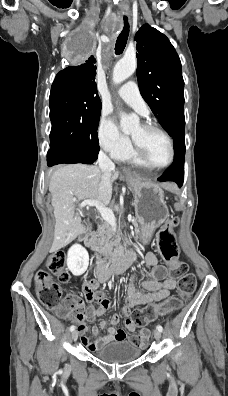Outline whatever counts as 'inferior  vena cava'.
<instances>
[{"mask_svg": "<svg viewBox=\"0 0 228 396\" xmlns=\"http://www.w3.org/2000/svg\"><path fill=\"white\" fill-rule=\"evenodd\" d=\"M98 165L102 172L100 188H99L100 194L102 196L110 195L112 191L110 177H111V172L115 169V165L103 151H100L99 153Z\"/></svg>", "mask_w": 228, "mask_h": 396, "instance_id": "602c4592", "label": "inferior vena cava"}]
</instances>
